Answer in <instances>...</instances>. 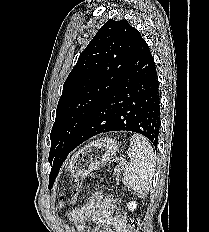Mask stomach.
I'll list each match as a JSON object with an SVG mask.
<instances>
[{"label": "stomach", "instance_id": "1", "mask_svg": "<svg viewBox=\"0 0 209 232\" xmlns=\"http://www.w3.org/2000/svg\"><path fill=\"white\" fill-rule=\"evenodd\" d=\"M118 144L114 139L103 138L89 143L71 158L68 170L71 176L83 179L91 171L103 167L116 154Z\"/></svg>", "mask_w": 209, "mask_h": 232}]
</instances>
